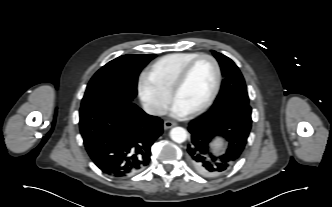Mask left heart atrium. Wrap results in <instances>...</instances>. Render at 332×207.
Wrapping results in <instances>:
<instances>
[{"mask_svg": "<svg viewBox=\"0 0 332 207\" xmlns=\"http://www.w3.org/2000/svg\"><path fill=\"white\" fill-rule=\"evenodd\" d=\"M171 112L176 117H183L188 114V111L182 108L179 104L176 102L173 103Z\"/></svg>", "mask_w": 332, "mask_h": 207, "instance_id": "obj_1", "label": "left heart atrium"}]
</instances>
